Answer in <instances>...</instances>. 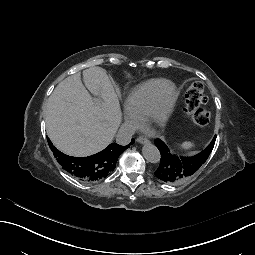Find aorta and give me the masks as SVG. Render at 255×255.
I'll use <instances>...</instances> for the list:
<instances>
[{
    "label": "aorta",
    "instance_id": "1",
    "mask_svg": "<svg viewBox=\"0 0 255 255\" xmlns=\"http://www.w3.org/2000/svg\"><path fill=\"white\" fill-rule=\"evenodd\" d=\"M142 153L144 158L150 163H158L160 161V152L158 148L151 143L145 144L143 146Z\"/></svg>",
    "mask_w": 255,
    "mask_h": 255
}]
</instances>
